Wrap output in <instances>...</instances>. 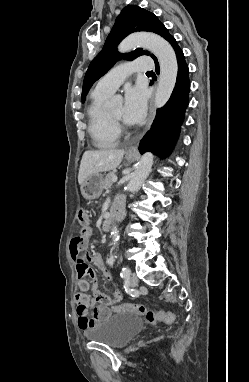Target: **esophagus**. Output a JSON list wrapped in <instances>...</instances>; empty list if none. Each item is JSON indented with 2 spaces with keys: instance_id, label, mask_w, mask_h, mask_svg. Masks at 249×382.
<instances>
[{
  "instance_id": "34e87169",
  "label": "esophagus",
  "mask_w": 249,
  "mask_h": 382,
  "mask_svg": "<svg viewBox=\"0 0 249 382\" xmlns=\"http://www.w3.org/2000/svg\"><path fill=\"white\" fill-rule=\"evenodd\" d=\"M155 114H156V111H155V108H154V101L153 99L151 100L150 102V107H149V114H148V123H147V128H150L154 118H155ZM127 153L129 154H136L138 153V149L136 146H133V147H130L128 150H127Z\"/></svg>"
}]
</instances>
